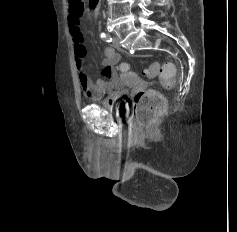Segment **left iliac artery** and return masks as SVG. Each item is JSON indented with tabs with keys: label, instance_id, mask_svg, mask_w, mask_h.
I'll return each mask as SVG.
<instances>
[{
	"label": "left iliac artery",
	"instance_id": "44dca946",
	"mask_svg": "<svg viewBox=\"0 0 237 232\" xmlns=\"http://www.w3.org/2000/svg\"><path fill=\"white\" fill-rule=\"evenodd\" d=\"M101 37L104 39V41L106 42H111L112 41V37L109 35V34H105V33H102L101 34Z\"/></svg>",
	"mask_w": 237,
	"mask_h": 232
}]
</instances>
